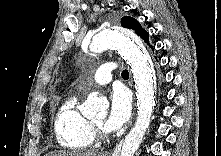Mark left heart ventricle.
<instances>
[{"mask_svg":"<svg viewBox=\"0 0 221 156\" xmlns=\"http://www.w3.org/2000/svg\"><path fill=\"white\" fill-rule=\"evenodd\" d=\"M95 123L99 124V125H102L103 124V119H96L95 120Z\"/></svg>","mask_w":221,"mask_h":156,"instance_id":"1","label":"left heart ventricle"}]
</instances>
